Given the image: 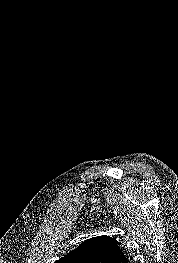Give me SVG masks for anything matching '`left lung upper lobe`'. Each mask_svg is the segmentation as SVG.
Returning a JSON list of instances; mask_svg holds the SVG:
<instances>
[{"label": "left lung upper lobe", "instance_id": "1", "mask_svg": "<svg viewBox=\"0 0 178 263\" xmlns=\"http://www.w3.org/2000/svg\"><path fill=\"white\" fill-rule=\"evenodd\" d=\"M121 252L120 244L115 238L103 235L85 240L55 263H110Z\"/></svg>", "mask_w": 178, "mask_h": 263}]
</instances>
